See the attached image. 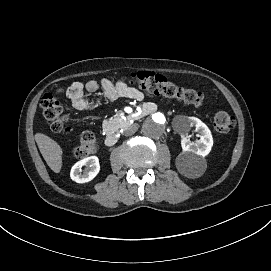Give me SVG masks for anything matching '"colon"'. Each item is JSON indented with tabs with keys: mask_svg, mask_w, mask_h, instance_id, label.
Returning <instances> with one entry per match:
<instances>
[{
	"mask_svg": "<svg viewBox=\"0 0 271 271\" xmlns=\"http://www.w3.org/2000/svg\"><path fill=\"white\" fill-rule=\"evenodd\" d=\"M129 82L158 96L177 100L187 104L200 105L204 101V94L195 89L179 86L166 77L148 71H139L129 75ZM41 108L54 132L68 133L71 127L68 118L59 101L47 93L41 100ZM214 129L220 133H228L235 126V119L226 111H218L213 118ZM98 145L94 135L90 132L82 134L79 143L73 149L75 158L82 159L97 152Z\"/></svg>",
	"mask_w": 271,
	"mask_h": 271,
	"instance_id": "obj_1",
	"label": "colon"
}]
</instances>
